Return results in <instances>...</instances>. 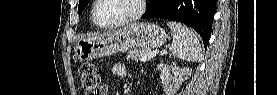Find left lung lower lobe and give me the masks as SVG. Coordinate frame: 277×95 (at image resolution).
<instances>
[{
    "instance_id": "obj_1",
    "label": "left lung lower lobe",
    "mask_w": 277,
    "mask_h": 95,
    "mask_svg": "<svg viewBox=\"0 0 277 95\" xmlns=\"http://www.w3.org/2000/svg\"><path fill=\"white\" fill-rule=\"evenodd\" d=\"M217 0H152L142 18H165L194 28L205 48L209 42Z\"/></svg>"
}]
</instances>
